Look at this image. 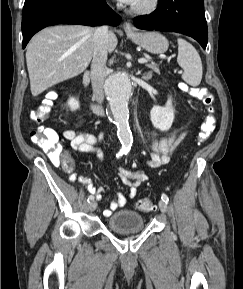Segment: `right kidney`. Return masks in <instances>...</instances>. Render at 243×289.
<instances>
[{
	"mask_svg": "<svg viewBox=\"0 0 243 289\" xmlns=\"http://www.w3.org/2000/svg\"><path fill=\"white\" fill-rule=\"evenodd\" d=\"M68 106L70 107V109L72 111H75V110L79 109L80 104H79V101L77 99L72 97L68 100Z\"/></svg>",
	"mask_w": 243,
	"mask_h": 289,
	"instance_id": "right-kidney-1",
	"label": "right kidney"
}]
</instances>
